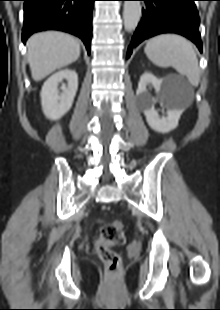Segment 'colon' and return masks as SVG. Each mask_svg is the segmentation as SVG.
I'll return each mask as SVG.
<instances>
[{
	"instance_id": "5ec220e1",
	"label": "colon",
	"mask_w": 220,
	"mask_h": 310,
	"mask_svg": "<svg viewBox=\"0 0 220 310\" xmlns=\"http://www.w3.org/2000/svg\"><path fill=\"white\" fill-rule=\"evenodd\" d=\"M123 224L115 220L105 223L100 228L99 237L96 241V252L106 265L109 275H117L121 271L122 260L120 255L113 249L122 236Z\"/></svg>"
}]
</instances>
